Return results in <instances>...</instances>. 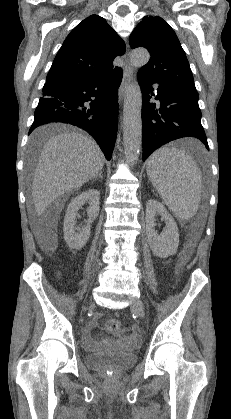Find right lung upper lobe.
Returning <instances> with one entry per match:
<instances>
[{
  "mask_svg": "<svg viewBox=\"0 0 231 419\" xmlns=\"http://www.w3.org/2000/svg\"><path fill=\"white\" fill-rule=\"evenodd\" d=\"M118 34L98 15L79 23L67 36L47 74L44 87L101 77L118 69L112 62L125 53Z\"/></svg>",
  "mask_w": 231,
  "mask_h": 419,
  "instance_id": "right-lung-upper-lobe-1",
  "label": "right lung upper lobe"
}]
</instances>
